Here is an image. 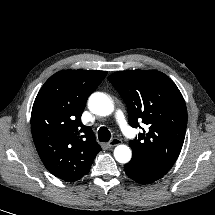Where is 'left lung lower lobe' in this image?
Masks as SVG:
<instances>
[{
    "label": "left lung lower lobe",
    "instance_id": "left-lung-lower-lobe-1",
    "mask_svg": "<svg viewBox=\"0 0 215 215\" xmlns=\"http://www.w3.org/2000/svg\"><path fill=\"white\" fill-rule=\"evenodd\" d=\"M124 170L131 179L141 184L152 183L164 176L162 174L154 173L143 169L139 165L134 164L132 162L125 164Z\"/></svg>",
    "mask_w": 215,
    "mask_h": 215
}]
</instances>
